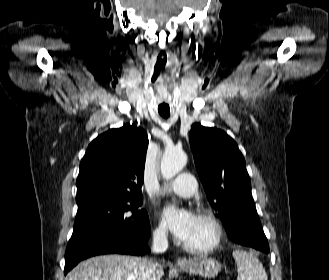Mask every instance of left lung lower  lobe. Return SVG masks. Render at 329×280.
Instances as JSON below:
<instances>
[{"instance_id": "0a47b994", "label": "left lung lower lobe", "mask_w": 329, "mask_h": 280, "mask_svg": "<svg viewBox=\"0 0 329 280\" xmlns=\"http://www.w3.org/2000/svg\"><path fill=\"white\" fill-rule=\"evenodd\" d=\"M226 231L234 242L269 253L268 241L263 232L254 203L250 205L249 212L244 219L227 227Z\"/></svg>"}]
</instances>
